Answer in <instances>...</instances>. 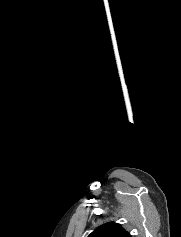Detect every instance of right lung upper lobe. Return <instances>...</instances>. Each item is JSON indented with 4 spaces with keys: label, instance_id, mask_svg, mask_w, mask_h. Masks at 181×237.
Wrapping results in <instances>:
<instances>
[{
    "label": "right lung upper lobe",
    "instance_id": "obj_1",
    "mask_svg": "<svg viewBox=\"0 0 181 237\" xmlns=\"http://www.w3.org/2000/svg\"><path fill=\"white\" fill-rule=\"evenodd\" d=\"M88 237H131L121 225L110 222L99 226Z\"/></svg>",
    "mask_w": 181,
    "mask_h": 237
}]
</instances>
